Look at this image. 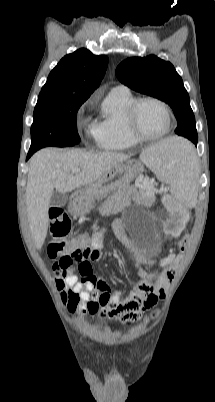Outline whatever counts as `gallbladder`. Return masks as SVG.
<instances>
[{
  "mask_svg": "<svg viewBox=\"0 0 215 402\" xmlns=\"http://www.w3.org/2000/svg\"><path fill=\"white\" fill-rule=\"evenodd\" d=\"M68 202V195L66 193H61L59 191H53L50 198L51 207H62Z\"/></svg>",
  "mask_w": 215,
  "mask_h": 402,
  "instance_id": "1",
  "label": "gallbladder"
}]
</instances>
